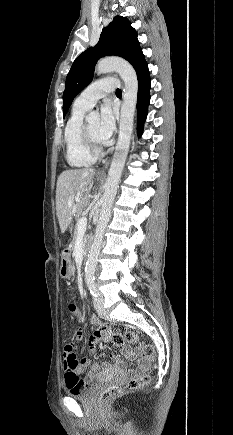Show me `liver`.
Segmentation results:
<instances>
[{"label":"liver","mask_w":233,"mask_h":435,"mask_svg":"<svg viewBox=\"0 0 233 435\" xmlns=\"http://www.w3.org/2000/svg\"><path fill=\"white\" fill-rule=\"evenodd\" d=\"M94 174V169H75L63 171L58 177L56 211L63 233L70 228L73 216H80L88 206ZM76 198L80 201L75 204Z\"/></svg>","instance_id":"1"}]
</instances>
